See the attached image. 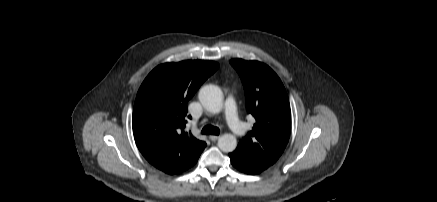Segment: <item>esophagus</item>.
I'll list each match as a JSON object with an SVG mask.
<instances>
[{"mask_svg":"<svg viewBox=\"0 0 437 202\" xmlns=\"http://www.w3.org/2000/svg\"><path fill=\"white\" fill-rule=\"evenodd\" d=\"M218 138H219V136H217V135H210V136H209V139H210L211 141H216Z\"/></svg>","mask_w":437,"mask_h":202,"instance_id":"obj_1","label":"esophagus"}]
</instances>
